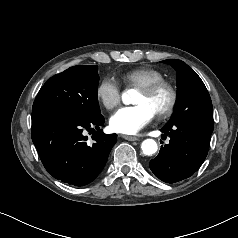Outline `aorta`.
<instances>
[{
  "label": "aorta",
  "instance_id": "obj_1",
  "mask_svg": "<svg viewBox=\"0 0 238 238\" xmlns=\"http://www.w3.org/2000/svg\"><path fill=\"white\" fill-rule=\"evenodd\" d=\"M122 101L124 104L131 103V91L128 90L122 94ZM142 152L145 155H153L157 152L158 146L153 139H146L141 144Z\"/></svg>",
  "mask_w": 238,
  "mask_h": 238
}]
</instances>
